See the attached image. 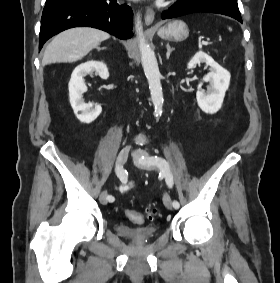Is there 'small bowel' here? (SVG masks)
Returning <instances> with one entry per match:
<instances>
[{
	"label": "small bowel",
	"instance_id": "obj_1",
	"mask_svg": "<svg viewBox=\"0 0 280 283\" xmlns=\"http://www.w3.org/2000/svg\"><path fill=\"white\" fill-rule=\"evenodd\" d=\"M134 186V183L133 182H129L127 184H122L120 186V191L122 193H125V192H128L132 187Z\"/></svg>",
	"mask_w": 280,
	"mask_h": 283
}]
</instances>
